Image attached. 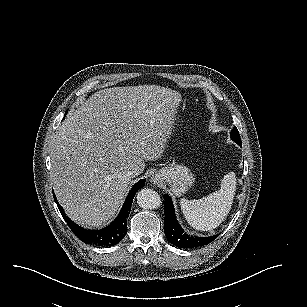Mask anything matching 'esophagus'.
Listing matches in <instances>:
<instances>
[{"label": "esophagus", "mask_w": 307, "mask_h": 307, "mask_svg": "<svg viewBox=\"0 0 307 307\" xmlns=\"http://www.w3.org/2000/svg\"><path fill=\"white\" fill-rule=\"evenodd\" d=\"M163 181V174L160 172H155L150 177V182L153 185H159Z\"/></svg>", "instance_id": "1"}]
</instances>
